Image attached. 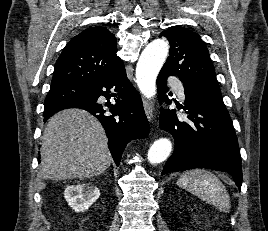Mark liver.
<instances>
[{
	"mask_svg": "<svg viewBox=\"0 0 268 231\" xmlns=\"http://www.w3.org/2000/svg\"><path fill=\"white\" fill-rule=\"evenodd\" d=\"M107 142L100 122L88 112L66 109L56 113L42 136L40 177L58 181L104 173L112 162Z\"/></svg>",
	"mask_w": 268,
	"mask_h": 231,
	"instance_id": "6515ba94",
	"label": "liver"
}]
</instances>
